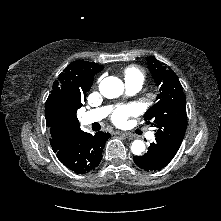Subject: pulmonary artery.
<instances>
[{"instance_id":"e3ab8cb5","label":"pulmonary artery","mask_w":221,"mask_h":221,"mask_svg":"<svg viewBox=\"0 0 221 221\" xmlns=\"http://www.w3.org/2000/svg\"><path fill=\"white\" fill-rule=\"evenodd\" d=\"M142 83L143 81L137 78H127L125 79V86L126 90L129 94H134L138 92L142 88ZM110 108L109 107H102V108H97L91 111H88L84 114L83 116V121L86 124H91L94 122H98L102 120L109 112ZM147 137L149 139H152L154 137L153 132H149L147 134Z\"/></svg>"}]
</instances>
